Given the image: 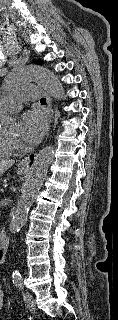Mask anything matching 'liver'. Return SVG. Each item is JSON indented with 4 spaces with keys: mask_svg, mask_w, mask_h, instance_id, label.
<instances>
[{
    "mask_svg": "<svg viewBox=\"0 0 118 320\" xmlns=\"http://www.w3.org/2000/svg\"><path fill=\"white\" fill-rule=\"evenodd\" d=\"M14 163L15 160L13 159H0V176H2Z\"/></svg>",
    "mask_w": 118,
    "mask_h": 320,
    "instance_id": "liver-1",
    "label": "liver"
}]
</instances>
